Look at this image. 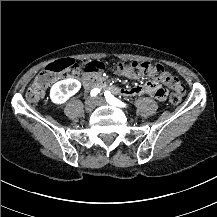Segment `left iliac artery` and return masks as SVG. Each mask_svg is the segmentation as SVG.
<instances>
[{"instance_id": "left-iliac-artery-1", "label": "left iliac artery", "mask_w": 217, "mask_h": 217, "mask_svg": "<svg viewBox=\"0 0 217 217\" xmlns=\"http://www.w3.org/2000/svg\"><path fill=\"white\" fill-rule=\"evenodd\" d=\"M104 96L106 98V101L109 104H114L115 106L118 107H126V104H124L122 101L118 100L117 98H115L110 91H105Z\"/></svg>"}]
</instances>
